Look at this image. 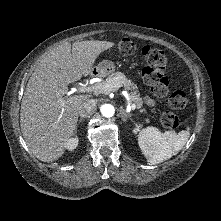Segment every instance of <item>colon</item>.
Instances as JSON below:
<instances>
[{
    "mask_svg": "<svg viewBox=\"0 0 221 221\" xmlns=\"http://www.w3.org/2000/svg\"><path fill=\"white\" fill-rule=\"evenodd\" d=\"M117 51L124 56L132 55L137 51V46L130 39H123L117 45ZM142 56L147 61V66L142 70L144 81L152 87L158 97H167L168 103L173 109H182L187 104V97L183 90H170L168 80L165 77L167 58L165 52L159 48L143 46L140 49ZM160 122L164 128L176 129L179 119L173 111L162 114Z\"/></svg>",
    "mask_w": 221,
    "mask_h": 221,
    "instance_id": "1",
    "label": "colon"
}]
</instances>
